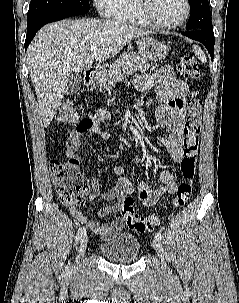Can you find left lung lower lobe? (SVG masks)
Listing matches in <instances>:
<instances>
[{
	"instance_id": "left-lung-lower-lobe-1",
	"label": "left lung lower lobe",
	"mask_w": 239,
	"mask_h": 303,
	"mask_svg": "<svg viewBox=\"0 0 239 303\" xmlns=\"http://www.w3.org/2000/svg\"><path fill=\"white\" fill-rule=\"evenodd\" d=\"M184 36H187L193 40L199 41L205 45L208 52L210 53V56L213 60L214 56V33L213 30H192L189 32H183Z\"/></svg>"
}]
</instances>
